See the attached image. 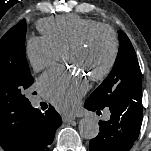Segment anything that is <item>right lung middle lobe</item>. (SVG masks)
<instances>
[{"instance_id":"right-lung-middle-lobe-1","label":"right lung middle lobe","mask_w":151,"mask_h":151,"mask_svg":"<svg viewBox=\"0 0 151 151\" xmlns=\"http://www.w3.org/2000/svg\"><path fill=\"white\" fill-rule=\"evenodd\" d=\"M26 21L21 20L0 39V99L28 101L25 90L33 77L25 57Z\"/></svg>"}]
</instances>
